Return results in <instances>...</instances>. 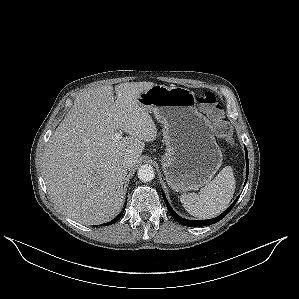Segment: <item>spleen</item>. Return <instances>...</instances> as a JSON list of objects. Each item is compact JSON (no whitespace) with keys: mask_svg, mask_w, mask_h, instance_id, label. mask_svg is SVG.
<instances>
[{"mask_svg":"<svg viewBox=\"0 0 299 299\" xmlns=\"http://www.w3.org/2000/svg\"><path fill=\"white\" fill-rule=\"evenodd\" d=\"M231 166H226L199 193H183L180 201L185 210L199 219L218 216L229 205L236 188Z\"/></svg>","mask_w":299,"mask_h":299,"instance_id":"1","label":"spleen"}]
</instances>
